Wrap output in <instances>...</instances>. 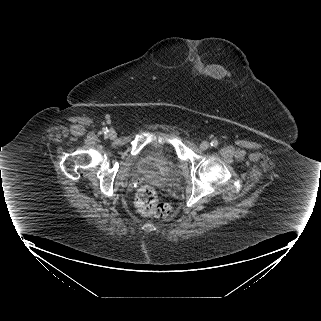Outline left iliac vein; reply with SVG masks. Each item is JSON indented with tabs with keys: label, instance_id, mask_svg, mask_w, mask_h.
Listing matches in <instances>:
<instances>
[{
	"label": "left iliac vein",
	"instance_id": "4c4485c4",
	"mask_svg": "<svg viewBox=\"0 0 321 321\" xmlns=\"http://www.w3.org/2000/svg\"><path fill=\"white\" fill-rule=\"evenodd\" d=\"M209 147H210V143L207 142V141H203V142L200 144V148H201L202 150H207Z\"/></svg>",
	"mask_w": 321,
	"mask_h": 321
}]
</instances>
